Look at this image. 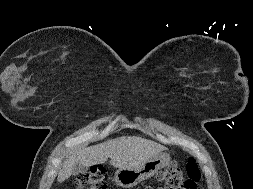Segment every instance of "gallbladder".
Returning a JSON list of instances; mask_svg holds the SVG:
<instances>
[{
	"instance_id": "1",
	"label": "gallbladder",
	"mask_w": 253,
	"mask_h": 189,
	"mask_svg": "<svg viewBox=\"0 0 253 189\" xmlns=\"http://www.w3.org/2000/svg\"><path fill=\"white\" fill-rule=\"evenodd\" d=\"M87 171V167L81 164H77L74 168H73V175H78L80 173H84Z\"/></svg>"
}]
</instances>
